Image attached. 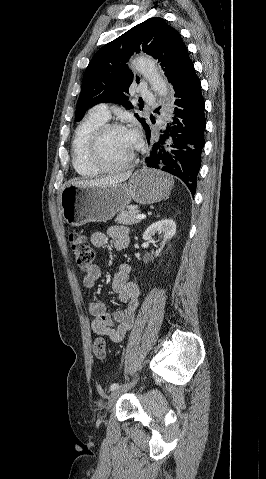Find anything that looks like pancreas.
Returning <instances> with one entry per match:
<instances>
[{"label": "pancreas", "mask_w": 266, "mask_h": 479, "mask_svg": "<svg viewBox=\"0 0 266 479\" xmlns=\"http://www.w3.org/2000/svg\"><path fill=\"white\" fill-rule=\"evenodd\" d=\"M139 210L130 209L128 211H120V213L115 218V222L125 225H133L139 223L140 220L136 219L135 216L139 214Z\"/></svg>", "instance_id": "1"}]
</instances>
